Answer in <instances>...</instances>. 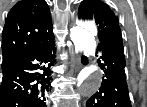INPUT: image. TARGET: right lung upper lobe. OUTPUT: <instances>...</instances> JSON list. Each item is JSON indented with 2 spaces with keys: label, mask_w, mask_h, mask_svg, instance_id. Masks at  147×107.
<instances>
[{
  "label": "right lung upper lobe",
  "mask_w": 147,
  "mask_h": 107,
  "mask_svg": "<svg viewBox=\"0 0 147 107\" xmlns=\"http://www.w3.org/2000/svg\"><path fill=\"white\" fill-rule=\"evenodd\" d=\"M45 0H21L10 10L2 35V66L53 36Z\"/></svg>",
  "instance_id": "1"
}]
</instances>
